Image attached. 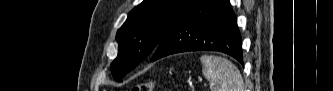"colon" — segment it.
Returning a JSON list of instances; mask_svg holds the SVG:
<instances>
[{
    "instance_id": "colon-1",
    "label": "colon",
    "mask_w": 333,
    "mask_h": 91,
    "mask_svg": "<svg viewBox=\"0 0 333 91\" xmlns=\"http://www.w3.org/2000/svg\"><path fill=\"white\" fill-rule=\"evenodd\" d=\"M152 89H153V83L148 81L134 85L131 88V91H151Z\"/></svg>"
}]
</instances>
